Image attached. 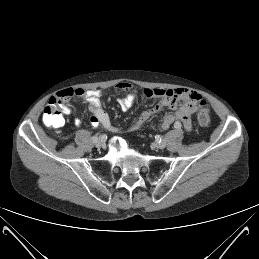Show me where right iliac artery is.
Returning a JSON list of instances; mask_svg holds the SVG:
<instances>
[{"label": "right iliac artery", "instance_id": "obj_1", "mask_svg": "<svg viewBox=\"0 0 259 259\" xmlns=\"http://www.w3.org/2000/svg\"><path fill=\"white\" fill-rule=\"evenodd\" d=\"M97 139H98L97 136H93V137H92V141H93V142H95Z\"/></svg>", "mask_w": 259, "mask_h": 259}]
</instances>
